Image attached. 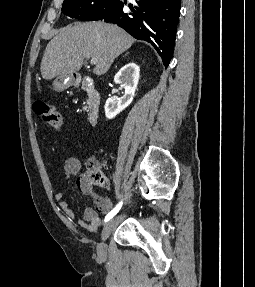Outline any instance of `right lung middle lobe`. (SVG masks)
Instances as JSON below:
<instances>
[{"instance_id":"right-lung-middle-lobe-1","label":"right lung middle lobe","mask_w":255,"mask_h":287,"mask_svg":"<svg viewBox=\"0 0 255 287\" xmlns=\"http://www.w3.org/2000/svg\"><path fill=\"white\" fill-rule=\"evenodd\" d=\"M120 0H64L62 12L79 20H101L118 7Z\"/></svg>"}]
</instances>
